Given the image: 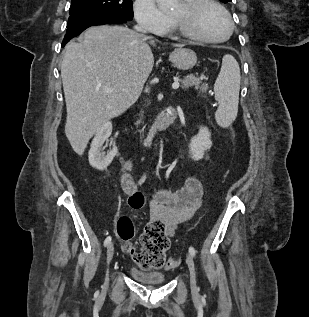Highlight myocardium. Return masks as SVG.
<instances>
[{
	"instance_id": "1",
	"label": "myocardium",
	"mask_w": 309,
	"mask_h": 317,
	"mask_svg": "<svg viewBox=\"0 0 309 317\" xmlns=\"http://www.w3.org/2000/svg\"><path fill=\"white\" fill-rule=\"evenodd\" d=\"M211 6L218 9L225 17L227 24H228V31L224 37L221 38H209L199 34H196L189 30L183 23L176 17H172L173 24L175 27L176 32L181 35L182 37L189 39L191 41L199 42V43H206V44H217L223 43L227 41L234 31V23L232 17L228 10L221 5L216 0H185L184 7L188 13H195L202 9L203 7Z\"/></svg>"
}]
</instances>
